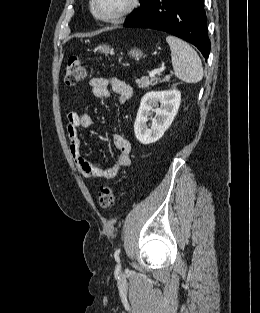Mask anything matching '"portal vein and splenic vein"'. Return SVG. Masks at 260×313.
<instances>
[{
  "instance_id": "obj_1",
  "label": "portal vein and splenic vein",
  "mask_w": 260,
  "mask_h": 313,
  "mask_svg": "<svg viewBox=\"0 0 260 313\" xmlns=\"http://www.w3.org/2000/svg\"><path fill=\"white\" fill-rule=\"evenodd\" d=\"M164 72V69H155L149 73L150 77H154L155 75H161Z\"/></svg>"
}]
</instances>
